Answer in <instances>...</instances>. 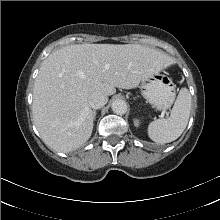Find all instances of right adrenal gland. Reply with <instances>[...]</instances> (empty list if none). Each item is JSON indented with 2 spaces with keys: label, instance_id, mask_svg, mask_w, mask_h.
I'll list each match as a JSON object with an SVG mask.
<instances>
[{
  "label": "right adrenal gland",
  "instance_id": "obj_1",
  "mask_svg": "<svg viewBox=\"0 0 220 220\" xmlns=\"http://www.w3.org/2000/svg\"><path fill=\"white\" fill-rule=\"evenodd\" d=\"M96 110L93 111V120H95Z\"/></svg>",
  "mask_w": 220,
  "mask_h": 220
}]
</instances>
